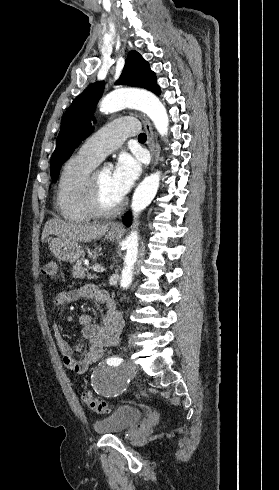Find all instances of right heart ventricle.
<instances>
[{"label":"right heart ventricle","instance_id":"e07e8e85","mask_svg":"<svg viewBox=\"0 0 279 490\" xmlns=\"http://www.w3.org/2000/svg\"><path fill=\"white\" fill-rule=\"evenodd\" d=\"M96 165L78 152L62 166L56 197L61 216L71 223H85L94 217L89 209L88 193L91 172Z\"/></svg>","mask_w":279,"mask_h":490}]
</instances>
